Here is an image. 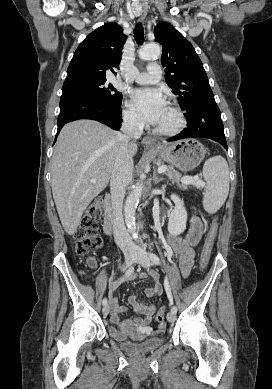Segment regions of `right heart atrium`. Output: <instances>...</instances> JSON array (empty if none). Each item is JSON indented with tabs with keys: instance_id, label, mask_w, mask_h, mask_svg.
Wrapping results in <instances>:
<instances>
[{
	"instance_id": "d8ad5b80",
	"label": "right heart atrium",
	"mask_w": 272,
	"mask_h": 389,
	"mask_svg": "<svg viewBox=\"0 0 272 389\" xmlns=\"http://www.w3.org/2000/svg\"><path fill=\"white\" fill-rule=\"evenodd\" d=\"M123 117H124V121L126 122V124L132 128L139 129L143 125L140 116L132 108L125 109L123 111Z\"/></svg>"
}]
</instances>
